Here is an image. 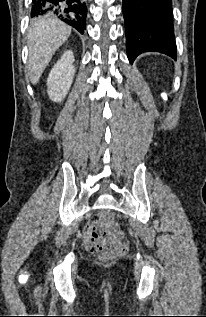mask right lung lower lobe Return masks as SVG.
Masks as SVG:
<instances>
[{
  "label": "right lung lower lobe",
  "instance_id": "obj_1",
  "mask_svg": "<svg viewBox=\"0 0 206 317\" xmlns=\"http://www.w3.org/2000/svg\"><path fill=\"white\" fill-rule=\"evenodd\" d=\"M54 14L81 34L86 29L85 0H32L31 17Z\"/></svg>",
  "mask_w": 206,
  "mask_h": 317
}]
</instances>
